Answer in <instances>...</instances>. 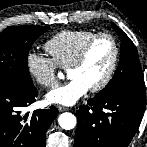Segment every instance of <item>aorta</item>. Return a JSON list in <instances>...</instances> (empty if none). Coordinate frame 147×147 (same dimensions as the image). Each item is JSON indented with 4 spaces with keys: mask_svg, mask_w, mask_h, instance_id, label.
<instances>
[{
    "mask_svg": "<svg viewBox=\"0 0 147 147\" xmlns=\"http://www.w3.org/2000/svg\"><path fill=\"white\" fill-rule=\"evenodd\" d=\"M58 123L61 128L71 130L76 126V117L69 112L62 113L58 118Z\"/></svg>",
    "mask_w": 147,
    "mask_h": 147,
    "instance_id": "obj_1",
    "label": "aorta"
}]
</instances>
